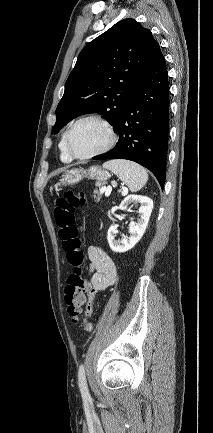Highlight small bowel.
Wrapping results in <instances>:
<instances>
[{"label": "small bowel", "mask_w": 213, "mask_h": 433, "mask_svg": "<svg viewBox=\"0 0 213 433\" xmlns=\"http://www.w3.org/2000/svg\"><path fill=\"white\" fill-rule=\"evenodd\" d=\"M89 265L87 276L89 288L87 290L86 316L93 312L94 299L97 293L112 286L117 279V269L114 261L101 248L91 245L87 249Z\"/></svg>", "instance_id": "c3829d8e"}]
</instances>
